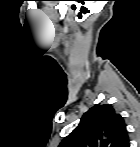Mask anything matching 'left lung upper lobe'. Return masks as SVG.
Wrapping results in <instances>:
<instances>
[{"mask_svg": "<svg viewBox=\"0 0 140 147\" xmlns=\"http://www.w3.org/2000/svg\"><path fill=\"white\" fill-rule=\"evenodd\" d=\"M60 147H129L126 124L111 105L93 106Z\"/></svg>", "mask_w": 140, "mask_h": 147, "instance_id": "1", "label": "left lung upper lobe"}]
</instances>
